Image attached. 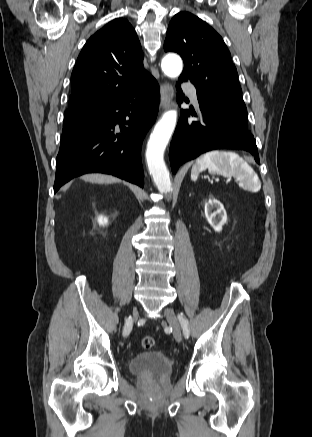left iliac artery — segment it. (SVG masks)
Wrapping results in <instances>:
<instances>
[{
    "label": "left iliac artery",
    "mask_w": 312,
    "mask_h": 437,
    "mask_svg": "<svg viewBox=\"0 0 312 437\" xmlns=\"http://www.w3.org/2000/svg\"><path fill=\"white\" fill-rule=\"evenodd\" d=\"M178 318H179V321L181 323L184 335L186 337H188L189 336V322H188V320H185L182 314L178 315Z\"/></svg>",
    "instance_id": "obj_1"
}]
</instances>
